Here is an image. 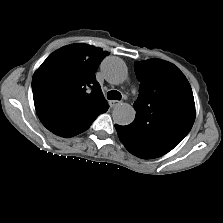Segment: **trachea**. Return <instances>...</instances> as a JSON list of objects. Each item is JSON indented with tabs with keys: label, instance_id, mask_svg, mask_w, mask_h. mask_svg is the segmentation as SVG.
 I'll use <instances>...</instances> for the list:
<instances>
[{
	"label": "trachea",
	"instance_id": "obj_1",
	"mask_svg": "<svg viewBox=\"0 0 223 223\" xmlns=\"http://www.w3.org/2000/svg\"><path fill=\"white\" fill-rule=\"evenodd\" d=\"M107 98L109 100H121V93L116 90H112L108 92Z\"/></svg>",
	"mask_w": 223,
	"mask_h": 223
}]
</instances>
